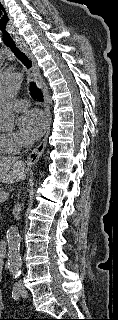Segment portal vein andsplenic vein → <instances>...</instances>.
<instances>
[{
  "instance_id": "1",
  "label": "portal vein and splenic vein",
  "mask_w": 118,
  "mask_h": 320,
  "mask_svg": "<svg viewBox=\"0 0 118 320\" xmlns=\"http://www.w3.org/2000/svg\"><path fill=\"white\" fill-rule=\"evenodd\" d=\"M9 197V193L6 191L0 192V202L7 200Z\"/></svg>"
}]
</instances>
